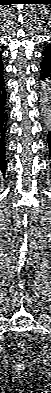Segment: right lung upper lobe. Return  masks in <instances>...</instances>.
Returning a JSON list of instances; mask_svg holds the SVG:
<instances>
[{"label": "right lung upper lobe", "instance_id": "obj_1", "mask_svg": "<svg viewBox=\"0 0 51 393\" xmlns=\"http://www.w3.org/2000/svg\"><path fill=\"white\" fill-rule=\"evenodd\" d=\"M1 57H2V54L0 52V72H2V69L4 68V65H3L2 61H1Z\"/></svg>", "mask_w": 51, "mask_h": 393}]
</instances>
